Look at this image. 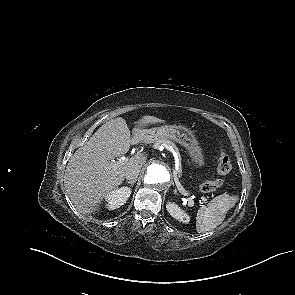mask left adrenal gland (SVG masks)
Masks as SVG:
<instances>
[{
    "label": "left adrenal gland",
    "instance_id": "a2214340",
    "mask_svg": "<svg viewBox=\"0 0 295 295\" xmlns=\"http://www.w3.org/2000/svg\"><path fill=\"white\" fill-rule=\"evenodd\" d=\"M173 192H174V194H177V190H176V189H174V191H173Z\"/></svg>",
    "mask_w": 295,
    "mask_h": 295
}]
</instances>
